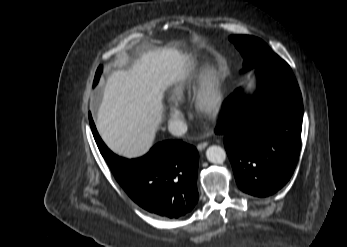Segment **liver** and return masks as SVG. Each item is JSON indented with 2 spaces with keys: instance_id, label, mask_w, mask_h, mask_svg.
<instances>
[{
  "instance_id": "1",
  "label": "liver",
  "mask_w": 347,
  "mask_h": 247,
  "mask_svg": "<svg viewBox=\"0 0 347 247\" xmlns=\"http://www.w3.org/2000/svg\"><path fill=\"white\" fill-rule=\"evenodd\" d=\"M190 70L185 55L164 47L144 53L128 70L112 72L95 122L106 145L129 159L145 155L162 121L165 90Z\"/></svg>"
}]
</instances>
